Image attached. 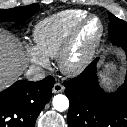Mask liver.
<instances>
[{"instance_id": "1", "label": "liver", "mask_w": 127, "mask_h": 127, "mask_svg": "<svg viewBox=\"0 0 127 127\" xmlns=\"http://www.w3.org/2000/svg\"><path fill=\"white\" fill-rule=\"evenodd\" d=\"M25 66L21 45L10 33L0 29V91L17 79Z\"/></svg>"}]
</instances>
